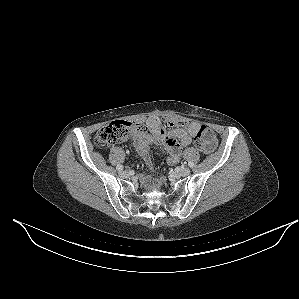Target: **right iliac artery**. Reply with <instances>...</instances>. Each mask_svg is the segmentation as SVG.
I'll use <instances>...</instances> for the list:
<instances>
[{
  "label": "right iliac artery",
  "instance_id": "obj_1",
  "mask_svg": "<svg viewBox=\"0 0 299 299\" xmlns=\"http://www.w3.org/2000/svg\"><path fill=\"white\" fill-rule=\"evenodd\" d=\"M116 169H117L118 171H122V170H123V166H122V165H117Z\"/></svg>",
  "mask_w": 299,
  "mask_h": 299
}]
</instances>
